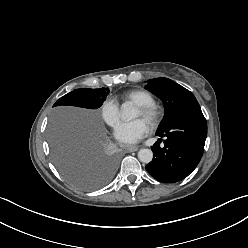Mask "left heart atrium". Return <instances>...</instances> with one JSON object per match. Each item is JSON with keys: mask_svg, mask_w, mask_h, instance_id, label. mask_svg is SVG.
<instances>
[{"mask_svg": "<svg viewBox=\"0 0 248 248\" xmlns=\"http://www.w3.org/2000/svg\"><path fill=\"white\" fill-rule=\"evenodd\" d=\"M148 131L144 119L138 118L129 122H121L115 129V138L124 144H135L142 139Z\"/></svg>", "mask_w": 248, "mask_h": 248, "instance_id": "39dd6f15", "label": "left heart atrium"}]
</instances>
